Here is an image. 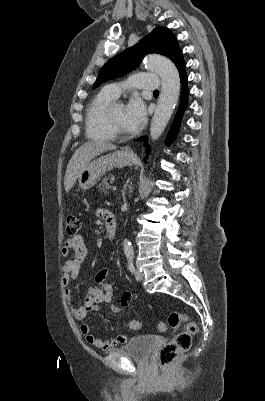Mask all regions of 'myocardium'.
<instances>
[{"mask_svg": "<svg viewBox=\"0 0 265 401\" xmlns=\"http://www.w3.org/2000/svg\"><path fill=\"white\" fill-rule=\"evenodd\" d=\"M113 108H114V104L111 105V107L108 110L107 116H106V125L110 131V133L113 135V137H122V138H128L129 135H121L114 123V119H113Z\"/></svg>", "mask_w": 265, "mask_h": 401, "instance_id": "1", "label": "myocardium"}]
</instances>
